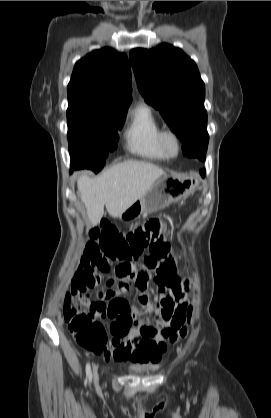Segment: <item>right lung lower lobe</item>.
I'll use <instances>...</instances> for the list:
<instances>
[{
	"label": "right lung lower lobe",
	"mask_w": 271,
	"mask_h": 418,
	"mask_svg": "<svg viewBox=\"0 0 271 418\" xmlns=\"http://www.w3.org/2000/svg\"><path fill=\"white\" fill-rule=\"evenodd\" d=\"M74 168L71 166V172H72V170H73Z\"/></svg>",
	"instance_id": "1"
}]
</instances>
